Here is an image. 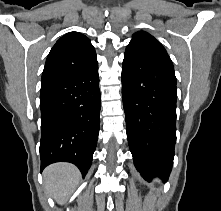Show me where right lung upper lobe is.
<instances>
[{
    "label": "right lung upper lobe",
    "instance_id": "1",
    "mask_svg": "<svg viewBox=\"0 0 221 211\" xmlns=\"http://www.w3.org/2000/svg\"><path fill=\"white\" fill-rule=\"evenodd\" d=\"M97 64L90 40L79 32L62 36L51 49L42 74V83L92 68Z\"/></svg>",
    "mask_w": 221,
    "mask_h": 211
}]
</instances>
